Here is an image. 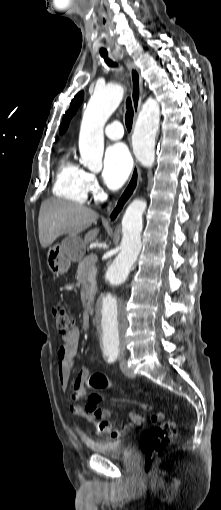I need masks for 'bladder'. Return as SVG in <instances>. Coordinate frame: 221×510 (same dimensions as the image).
Listing matches in <instances>:
<instances>
[{"label":"bladder","instance_id":"obj_1","mask_svg":"<svg viewBox=\"0 0 221 510\" xmlns=\"http://www.w3.org/2000/svg\"><path fill=\"white\" fill-rule=\"evenodd\" d=\"M135 438L134 434H129L122 436L116 441H95L90 443L88 448L108 458H119L131 452L134 447Z\"/></svg>","mask_w":221,"mask_h":510}]
</instances>
